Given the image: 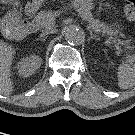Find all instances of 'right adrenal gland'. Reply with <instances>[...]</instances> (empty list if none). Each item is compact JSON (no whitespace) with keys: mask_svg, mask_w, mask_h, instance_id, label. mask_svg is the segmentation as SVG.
Here are the masks:
<instances>
[{"mask_svg":"<svg viewBox=\"0 0 135 135\" xmlns=\"http://www.w3.org/2000/svg\"><path fill=\"white\" fill-rule=\"evenodd\" d=\"M41 41H45L46 40V38H42V39H40Z\"/></svg>","mask_w":135,"mask_h":135,"instance_id":"2a0ac1e0","label":"right adrenal gland"}]
</instances>
